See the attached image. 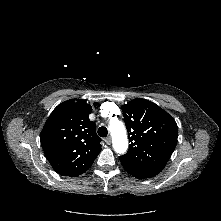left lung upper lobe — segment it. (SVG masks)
Segmentation results:
<instances>
[{
  "label": "left lung upper lobe",
  "mask_w": 221,
  "mask_h": 221,
  "mask_svg": "<svg viewBox=\"0 0 221 221\" xmlns=\"http://www.w3.org/2000/svg\"><path fill=\"white\" fill-rule=\"evenodd\" d=\"M122 111L131 144L120 161L137 166H165L177 143L175 120L146 99H134L123 105Z\"/></svg>",
  "instance_id": "1"
}]
</instances>
